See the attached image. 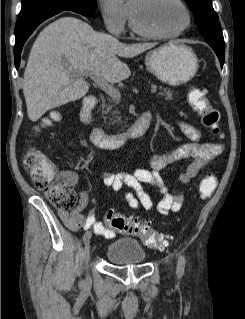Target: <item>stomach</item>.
Listing matches in <instances>:
<instances>
[{
  "label": "stomach",
  "mask_w": 245,
  "mask_h": 319,
  "mask_svg": "<svg viewBox=\"0 0 245 319\" xmlns=\"http://www.w3.org/2000/svg\"><path fill=\"white\" fill-rule=\"evenodd\" d=\"M145 65L158 79L176 86L194 77L198 69V59L190 47L179 42H170L148 52Z\"/></svg>",
  "instance_id": "0dacf381"
}]
</instances>
